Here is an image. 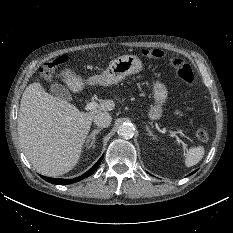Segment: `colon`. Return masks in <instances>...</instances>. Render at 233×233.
I'll return each instance as SVG.
<instances>
[{
    "label": "colon",
    "instance_id": "obj_1",
    "mask_svg": "<svg viewBox=\"0 0 233 233\" xmlns=\"http://www.w3.org/2000/svg\"><path fill=\"white\" fill-rule=\"evenodd\" d=\"M142 55L147 58L160 59L165 53L161 49H144ZM68 57L60 55L55 59L48 61L40 68V73L44 78H50L55 68L67 63ZM172 66L176 69L178 76L188 85H193L196 80V75L192 67L187 64L182 58L174 57L171 59ZM196 136L200 141L208 140V133L204 128H199L196 131Z\"/></svg>",
    "mask_w": 233,
    "mask_h": 233
}]
</instances>
